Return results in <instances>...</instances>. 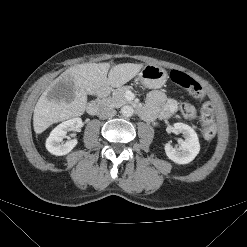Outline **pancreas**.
<instances>
[{"mask_svg":"<svg viewBox=\"0 0 247 247\" xmlns=\"http://www.w3.org/2000/svg\"><path fill=\"white\" fill-rule=\"evenodd\" d=\"M130 89L131 87L125 86L114 90L112 96H109L101 100V104L104 107H108V108H119L125 104L130 103V101H128L125 98V92Z\"/></svg>","mask_w":247,"mask_h":247,"instance_id":"obj_1","label":"pancreas"}]
</instances>
